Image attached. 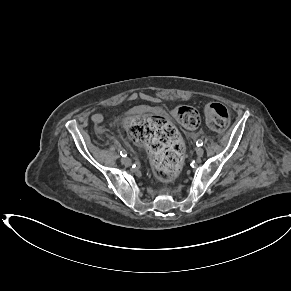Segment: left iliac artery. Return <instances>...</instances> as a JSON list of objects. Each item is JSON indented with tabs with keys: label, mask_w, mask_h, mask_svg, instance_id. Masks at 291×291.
<instances>
[{
	"label": "left iliac artery",
	"mask_w": 291,
	"mask_h": 291,
	"mask_svg": "<svg viewBox=\"0 0 291 291\" xmlns=\"http://www.w3.org/2000/svg\"><path fill=\"white\" fill-rule=\"evenodd\" d=\"M196 145H197L198 147L202 146V145H203V141H202V140H198V141L196 142Z\"/></svg>",
	"instance_id": "left-iliac-artery-1"
}]
</instances>
